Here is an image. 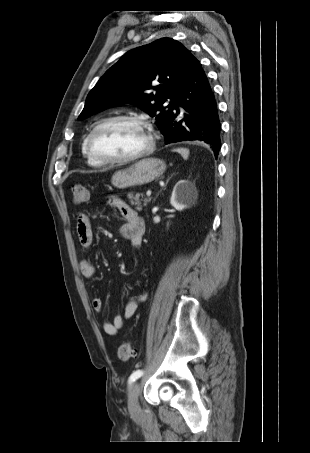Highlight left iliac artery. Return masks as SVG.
I'll return each instance as SVG.
<instances>
[{"label":"left iliac artery","instance_id":"obj_1","mask_svg":"<svg viewBox=\"0 0 310 453\" xmlns=\"http://www.w3.org/2000/svg\"><path fill=\"white\" fill-rule=\"evenodd\" d=\"M142 375H143V371L142 370L134 371L129 377V380H128L129 385H131L133 382H135Z\"/></svg>","mask_w":310,"mask_h":453}]
</instances>
